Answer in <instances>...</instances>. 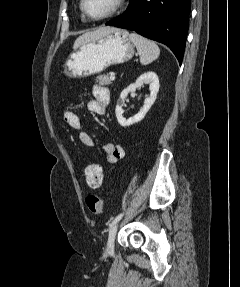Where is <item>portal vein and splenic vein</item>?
<instances>
[{
	"mask_svg": "<svg viewBox=\"0 0 240 287\" xmlns=\"http://www.w3.org/2000/svg\"><path fill=\"white\" fill-rule=\"evenodd\" d=\"M110 79H111V80H114V79H115V74H114V73H111Z\"/></svg>",
	"mask_w": 240,
	"mask_h": 287,
	"instance_id": "1",
	"label": "portal vein and splenic vein"
}]
</instances>
